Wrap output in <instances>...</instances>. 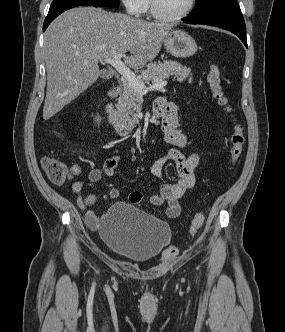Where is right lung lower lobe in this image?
I'll return each mask as SVG.
<instances>
[{"label":"right lung lower lobe","instance_id":"right-lung-lower-lobe-1","mask_svg":"<svg viewBox=\"0 0 285 332\" xmlns=\"http://www.w3.org/2000/svg\"><path fill=\"white\" fill-rule=\"evenodd\" d=\"M73 7H76V6H67V7H60V8H53V9H50L49 12H48V15L44 21V25H43V31L46 30V28L49 26V24L58 16L60 15L62 12L70 9V8H73Z\"/></svg>","mask_w":285,"mask_h":332}]
</instances>
